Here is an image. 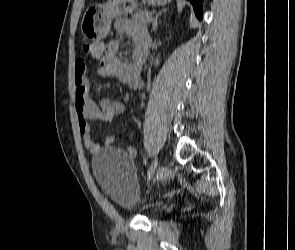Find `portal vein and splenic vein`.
I'll return each mask as SVG.
<instances>
[{"instance_id":"1","label":"portal vein and splenic vein","mask_w":295,"mask_h":250,"mask_svg":"<svg viewBox=\"0 0 295 250\" xmlns=\"http://www.w3.org/2000/svg\"><path fill=\"white\" fill-rule=\"evenodd\" d=\"M152 20H153V17L148 16V17L145 19L144 22H145L146 24H148V23L152 22Z\"/></svg>"}]
</instances>
